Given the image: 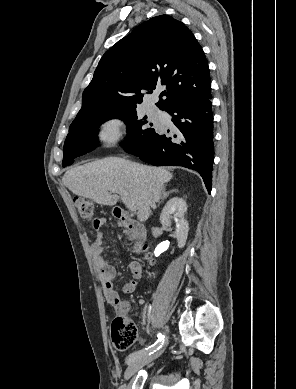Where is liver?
I'll return each mask as SVG.
<instances>
[{"mask_svg":"<svg viewBox=\"0 0 296 389\" xmlns=\"http://www.w3.org/2000/svg\"><path fill=\"white\" fill-rule=\"evenodd\" d=\"M172 178L164 168L108 157L69 169L62 182L75 195L103 205H115L118 193L135 204L137 218L144 222Z\"/></svg>","mask_w":296,"mask_h":389,"instance_id":"obj_1","label":"liver"}]
</instances>
